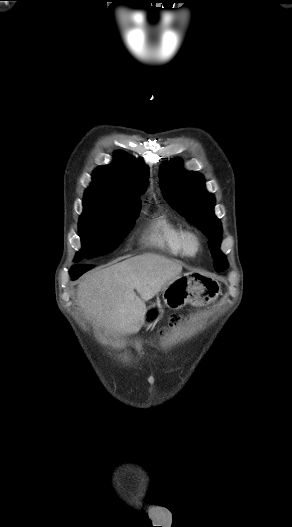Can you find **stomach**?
<instances>
[{
  "label": "stomach",
  "instance_id": "stomach-1",
  "mask_svg": "<svg viewBox=\"0 0 292 527\" xmlns=\"http://www.w3.org/2000/svg\"><path fill=\"white\" fill-rule=\"evenodd\" d=\"M219 293L220 284L216 280L193 272L168 281L162 289L165 305L173 309H180L187 303L202 306L215 300ZM163 313V306L157 300L147 308L144 323L155 325Z\"/></svg>",
  "mask_w": 292,
  "mask_h": 527
}]
</instances>
